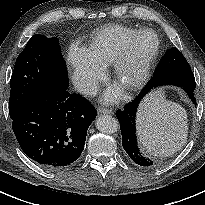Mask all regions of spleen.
Masks as SVG:
<instances>
[{"label":"spleen","instance_id":"obj_1","mask_svg":"<svg viewBox=\"0 0 205 205\" xmlns=\"http://www.w3.org/2000/svg\"><path fill=\"white\" fill-rule=\"evenodd\" d=\"M136 129L142 145L154 156L166 157L187 141V113L179 104L150 97L139 107Z\"/></svg>","mask_w":205,"mask_h":205}]
</instances>
